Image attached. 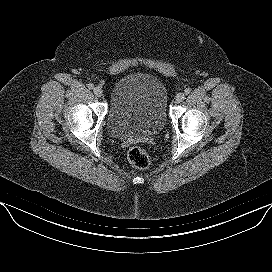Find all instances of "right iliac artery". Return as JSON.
<instances>
[{
    "instance_id": "82829eb1",
    "label": "right iliac artery",
    "mask_w": 272,
    "mask_h": 272,
    "mask_svg": "<svg viewBox=\"0 0 272 272\" xmlns=\"http://www.w3.org/2000/svg\"><path fill=\"white\" fill-rule=\"evenodd\" d=\"M87 87H88L89 89H93V88H94V85H93L92 83H89V84L87 85Z\"/></svg>"
}]
</instances>
